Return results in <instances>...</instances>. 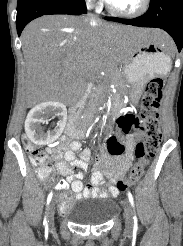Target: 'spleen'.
I'll list each match as a JSON object with an SVG mask.
<instances>
[{
	"mask_svg": "<svg viewBox=\"0 0 183 246\" xmlns=\"http://www.w3.org/2000/svg\"><path fill=\"white\" fill-rule=\"evenodd\" d=\"M147 61V58L145 56H138L134 63H133V68H137L138 66L144 64ZM171 68V64H169L167 71H169Z\"/></svg>",
	"mask_w": 183,
	"mask_h": 246,
	"instance_id": "obj_1",
	"label": "spleen"
}]
</instances>
